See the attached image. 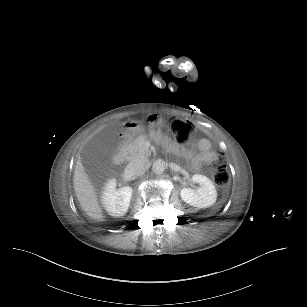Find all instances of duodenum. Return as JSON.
Segmentation results:
<instances>
[{
  "mask_svg": "<svg viewBox=\"0 0 307 307\" xmlns=\"http://www.w3.org/2000/svg\"><path fill=\"white\" fill-rule=\"evenodd\" d=\"M124 131L125 132H130L131 131V126L130 125H125L124 126ZM131 141V135L130 134H123L122 135V142H123V144L124 145H126V144H128L129 142ZM121 146L120 147V151H118L116 154H115V156H114V162L116 163V164H120V163H122L123 162V160H124V153H126L127 152V147L126 146Z\"/></svg>",
  "mask_w": 307,
  "mask_h": 307,
  "instance_id": "410a0bca",
  "label": "duodenum"
}]
</instances>
